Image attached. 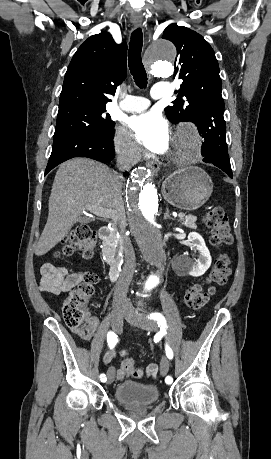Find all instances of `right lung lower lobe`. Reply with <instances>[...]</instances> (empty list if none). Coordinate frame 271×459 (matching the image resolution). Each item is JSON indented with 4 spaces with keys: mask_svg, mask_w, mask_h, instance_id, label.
I'll list each match as a JSON object with an SVG mask.
<instances>
[{
    "mask_svg": "<svg viewBox=\"0 0 271 459\" xmlns=\"http://www.w3.org/2000/svg\"><path fill=\"white\" fill-rule=\"evenodd\" d=\"M111 135L112 132L106 135L74 133L54 140L45 175L58 164L74 157L110 162L115 157Z\"/></svg>",
    "mask_w": 271,
    "mask_h": 459,
    "instance_id": "1",
    "label": "right lung lower lobe"
}]
</instances>
